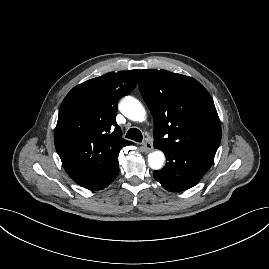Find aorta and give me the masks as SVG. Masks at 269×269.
Listing matches in <instances>:
<instances>
[{"mask_svg":"<svg viewBox=\"0 0 269 269\" xmlns=\"http://www.w3.org/2000/svg\"><path fill=\"white\" fill-rule=\"evenodd\" d=\"M121 113L132 121H143L146 111L143 105L135 98L126 96L119 104ZM165 162V155L160 150H155L148 155L149 167L153 170H160Z\"/></svg>","mask_w":269,"mask_h":269,"instance_id":"762f6f07","label":"aorta"}]
</instances>
